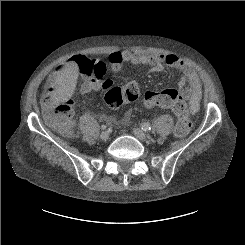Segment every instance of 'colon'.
Listing matches in <instances>:
<instances>
[{"label":"colon","instance_id":"colon-1","mask_svg":"<svg viewBox=\"0 0 245 245\" xmlns=\"http://www.w3.org/2000/svg\"><path fill=\"white\" fill-rule=\"evenodd\" d=\"M78 71L85 76H91L98 80L103 79L106 72L104 62L76 56L73 59ZM140 84L136 80L128 82L124 87H108L105 89V103L111 109L120 108L124 103L134 101L138 98ZM144 103L148 107H159L171 110L177 117L175 135L186 136L191 128L189 107L180 93L174 89L149 91L144 95ZM72 101L68 99L56 100L52 94L44 97L46 117L50 126L64 137L72 133L71 109Z\"/></svg>","mask_w":245,"mask_h":245}]
</instances>
